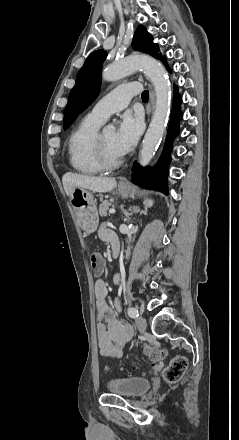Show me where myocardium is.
<instances>
[{
    "instance_id": "f54148a6",
    "label": "myocardium",
    "mask_w": 239,
    "mask_h": 440,
    "mask_svg": "<svg viewBox=\"0 0 239 440\" xmlns=\"http://www.w3.org/2000/svg\"><path fill=\"white\" fill-rule=\"evenodd\" d=\"M93 153L102 170H114L118 168L123 161V156L121 155L111 156L108 154L103 145L101 133H97L94 138Z\"/></svg>"
}]
</instances>
